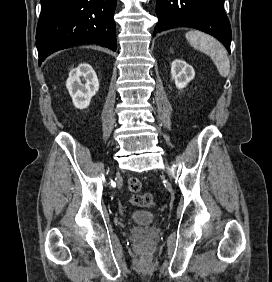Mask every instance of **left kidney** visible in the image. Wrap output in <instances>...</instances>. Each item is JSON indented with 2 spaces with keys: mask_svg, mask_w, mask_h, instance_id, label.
Listing matches in <instances>:
<instances>
[{
  "mask_svg": "<svg viewBox=\"0 0 272 282\" xmlns=\"http://www.w3.org/2000/svg\"><path fill=\"white\" fill-rule=\"evenodd\" d=\"M171 76L178 89H183L194 78L195 71L181 59H176L171 64Z\"/></svg>",
  "mask_w": 272,
  "mask_h": 282,
  "instance_id": "left-kidney-1",
  "label": "left kidney"
}]
</instances>
